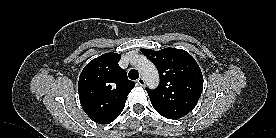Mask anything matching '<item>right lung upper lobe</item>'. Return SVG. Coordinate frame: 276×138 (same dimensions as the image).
Here are the masks:
<instances>
[{
	"label": "right lung upper lobe",
	"mask_w": 276,
	"mask_h": 138,
	"mask_svg": "<svg viewBox=\"0 0 276 138\" xmlns=\"http://www.w3.org/2000/svg\"><path fill=\"white\" fill-rule=\"evenodd\" d=\"M120 54L106 53L90 61L82 70L78 92L81 106L91 120L109 124L122 112L135 83L118 62Z\"/></svg>",
	"instance_id": "cb5924a9"
}]
</instances>
